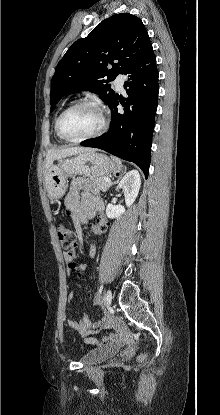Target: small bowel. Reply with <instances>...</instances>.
<instances>
[{
    "label": "small bowel",
    "instance_id": "small-bowel-1",
    "mask_svg": "<svg viewBox=\"0 0 220 415\" xmlns=\"http://www.w3.org/2000/svg\"><path fill=\"white\" fill-rule=\"evenodd\" d=\"M68 202L76 235L82 248V254L86 258H92L95 254L96 236L104 233L107 228V222L103 216L104 202L98 196V191L93 184L83 179L73 182L68 194ZM85 267V264H81L79 269L83 270ZM73 298L74 295L70 294L69 301L73 300ZM100 325L104 328L111 327L108 319H104ZM67 326L75 330L83 338L84 342L89 345L97 347L112 346L117 342L114 336L97 339L95 335L99 333L98 324L84 315L79 320L68 318Z\"/></svg>",
    "mask_w": 220,
    "mask_h": 415
}]
</instances>
